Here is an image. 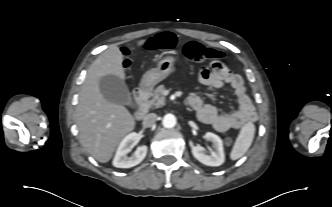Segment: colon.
Listing matches in <instances>:
<instances>
[{
    "label": "colon",
    "mask_w": 332,
    "mask_h": 207,
    "mask_svg": "<svg viewBox=\"0 0 332 207\" xmlns=\"http://www.w3.org/2000/svg\"><path fill=\"white\" fill-rule=\"evenodd\" d=\"M174 43L175 36L172 33L165 32L150 39L146 46L152 49H170L173 47ZM184 53L190 60L196 62H220L226 58V54L224 52L213 48H207L196 41L188 42L184 47ZM231 143L232 139L227 137L225 139V144L230 145Z\"/></svg>",
    "instance_id": "colon-1"
}]
</instances>
